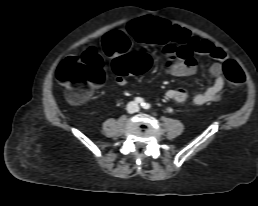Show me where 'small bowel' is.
<instances>
[{"mask_svg": "<svg viewBox=\"0 0 258 206\" xmlns=\"http://www.w3.org/2000/svg\"><path fill=\"white\" fill-rule=\"evenodd\" d=\"M132 31H112L105 35L102 43L104 52L114 58H120L130 45ZM158 43L162 44V54L165 60L164 73L172 76H189L196 72L197 62L194 54L211 57L214 63L209 68V73L214 77V83L204 92L195 95L191 105L201 106L222 99L221 91L225 85L223 77V62L227 59L226 52L213 43L192 36L186 29L177 26H168L155 35ZM115 83L125 86L127 80L124 75L119 74ZM165 96L168 100L179 105L188 101V93L184 89H170Z\"/></svg>", "mask_w": 258, "mask_h": 206, "instance_id": "small-bowel-1", "label": "small bowel"}]
</instances>
